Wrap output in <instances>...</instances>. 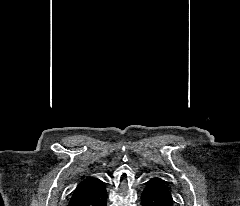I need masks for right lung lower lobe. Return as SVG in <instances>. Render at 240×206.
<instances>
[{
	"label": "right lung lower lobe",
	"mask_w": 240,
	"mask_h": 206,
	"mask_svg": "<svg viewBox=\"0 0 240 206\" xmlns=\"http://www.w3.org/2000/svg\"><path fill=\"white\" fill-rule=\"evenodd\" d=\"M107 192L102 184L93 194L88 197L77 200L69 206H106Z\"/></svg>",
	"instance_id": "98d812e1"
}]
</instances>
